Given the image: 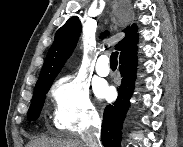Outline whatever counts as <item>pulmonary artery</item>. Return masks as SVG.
<instances>
[{
	"instance_id": "1",
	"label": "pulmonary artery",
	"mask_w": 183,
	"mask_h": 147,
	"mask_svg": "<svg viewBox=\"0 0 183 147\" xmlns=\"http://www.w3.org/2000/svg\"><path fill=\"white\" fill-rule=\"evenodd\" d=\"M109 58L107 55H101L96 63V72L98 75L105 77L110 73Z\"/></svg>"
}]
</instances>
